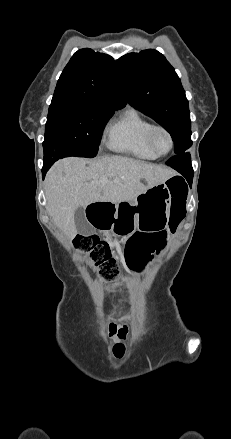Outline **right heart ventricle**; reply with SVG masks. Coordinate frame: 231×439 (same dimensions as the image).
<instances>
[{
	"label": "right heart ventricle",
	"instance_id": "obj_1",
	"mask_svg": "<svg viewBox=\"0 0 231 439\" xmlns=\"http://www.w3.org/2000/svg\"><path fill=\"white\" fill-rule=\"evenodd\" d=\"M153 124L135 109L125 110L107 130V147L117 153L142 160H155L158 156L147 141Z\"/></svg>",
	"mask_w": 231,
	"mask_h": 439
}]
</instances>
